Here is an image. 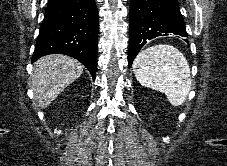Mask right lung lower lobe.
<instances>
[{
    "label": "right lung lower lobe",
    "mask_w": 227,
    "mask_h": 166,
    "mask_svg": "<svg viewBox=\"0 0 227 166\" xmlns=\"http://www.w3.org/2000/svg\"><path fill=\"white\" fill-rule=\"evenodd\" d=\"M98 11L95 0H48L32 62L49 54L80 61L95 79Z\"/></svg>",
    "instance_id": "right-lung-lower-lobe-1"
}]
</instances>
